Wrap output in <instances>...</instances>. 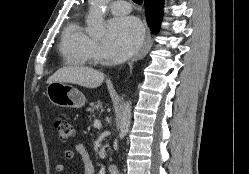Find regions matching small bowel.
I'll return each instance as SVG.
<instances>
[{"instance_id":"obj_1","label":"small bowel","mask_w":249,"mask_h":174,"mask_svg":"<svg viewBox=\"0 0 249 174\" xmlns=\"http://www.w3.org/2000/svg\"><path fill=\"white\" fill-rule=\"evenodd\" d=\"M76 154H78L81 158V161L83 163L84 168V174H94V166L91 161L90 155L88 151L86 150L85 146L83 144H76L74 149L67 150L65 152V157L68 160H72L75 158ZM66 169V166L64 164H58L56 166V171L59 173L64 172Z\"/></svg>"}]
</instances>
